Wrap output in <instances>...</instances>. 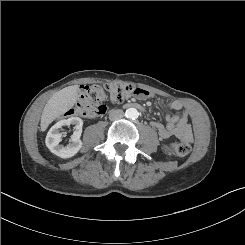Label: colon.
Wrapping results in <instances>:
<instances>
[{"instance_id":"5ec220e1","label":"colon","mask_w":245,"mask_h":245,"mask_svg":"<svg viewBox=\"0 0 245 245\" xmlns=\"http://www.w3.org/2000/svg\"><path fill=\"white\" fill-rule=\"evenodd\" d=\"M145 93L143 89L134 88L132 85L120 82L107 83L104 87L99 85H83L76 105L69 109L65 116H82L94 118L105 114L106 101L121 103L132 96ZM170 153L179 157L187 156L191 151L189 141L170 143L167 147Z\"/></svg>"}]
</instances>
